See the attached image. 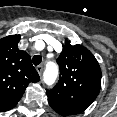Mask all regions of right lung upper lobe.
<instances>
[{"mask_svg": "<svg viewBox=\"0 0 117 117\" xmlns=\"http://www.w3.org/2000/svg\"><path fill=\"white\" fill-rule=\"evenodd\" d=\"M19 41L20 35L0 39V112L14 108L28 84L39 81L30 56L18 49Z\"/></svg>", "mask_w": 117, "mask_h": 117, "instance_id": "cb5924a9", "label": "right lung upper lobe"}]
</instances>
